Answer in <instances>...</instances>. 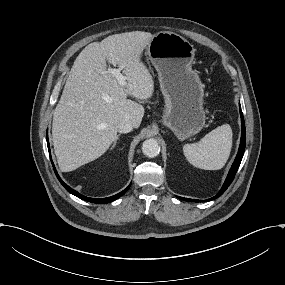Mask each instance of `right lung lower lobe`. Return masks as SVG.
<instances>
[{
	"label": "right lung lower lobe",
	"instance_id": "right-lung-lower-lobe-1",
	"mask_svg": "<svg viewBox=\"0 0 285 285\" xmlns=\"http://www.w3.org/2000/svg\"><path fill=\"white\" fill-rule=\"evenodd\" d=\"M47 145H48V150H49V155H50V158H51V154H50V147H49V141H48V136H47ZM52 162V160H51ZM52 165H53V168H54V171L56 173V176L57 178L59 179L60 183L65 187V189L70 192L71 194L77 196L78 198L82 199V200H85V201H88V202H92V203H97V204H106V203H110L114 200H116L117 198H119L120 196H122L123 194H125L127 192V190L129 189L130 185L124 189L122 192L116 194V195H113L111 197H107V198H101V199H96V198H89V197H86L80 193H78L77 191L73 190L72 188H70L67 184H65L61 178L59 177V175L57 174L56 172V169L54 167V164L52 162Z\"/></svg>",
	"mask_w": 285,
	"mask_h": 285
}]
</instances>
